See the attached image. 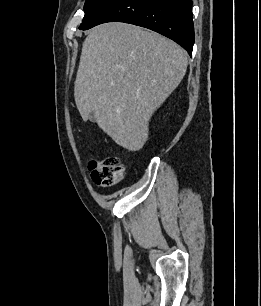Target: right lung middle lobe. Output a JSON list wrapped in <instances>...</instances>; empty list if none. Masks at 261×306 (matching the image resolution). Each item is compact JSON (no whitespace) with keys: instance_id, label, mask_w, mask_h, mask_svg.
Wrapping results in <instances>:
<instances>
[{"instance_id":"1","label":"right lung middle lobe","mask_w":261,"mask_h":306,"mask_svg":"<svg viewBox=\"0 0 261 306\" xmlns=\"http://www.w3.org/2000/svg\"><path fill=\"white\" fill-rule=\"evenodd\" d=\"M113 1L114 0H86L84 5L85 15L79 29L88 26Z\"/></svg>"}]
</instances>
